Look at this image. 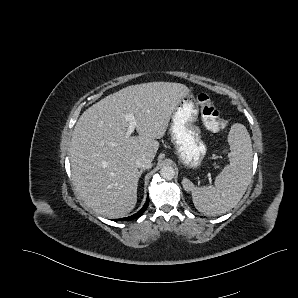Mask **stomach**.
Masks as SVG:
<instances>
[{
	"mask_svg": "<svg viewBox=\"0 0 298 298\" xmlns=\"http://www.w3.org/2000/svg\"><path fill=\"white\" fill-rule=\"evenodd\" d=\"M199 105L193 94L184 97L171 116L169 134L174 154L184 167L199 168L207 154V145L202 140L201 129L196 122Z\"/></svg>",
	"mask_w": 298,
	"mask_h": 298,
	"instance_id": "1",
	"label": "stomach"
}]
</instances>
